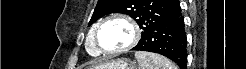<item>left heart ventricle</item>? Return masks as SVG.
Here are the masks:
<instances>
[{
  "instance_id": "obj_1",
  "label": "left heart ventricle",
  "mask_w": 246,
  "mask_h": 69,
  "mask_svg": "<svg viewBox=\"0 0 246 69\" xmlns=\"http://www.w3.org/2000/svg\"><path fill=\"white\" fill-rule=\"evenodd\" d=\"M132 38L131 28L122 20H111L99 32V41L106 49L121 48Z\"/></svg>"
}]
</instances>
